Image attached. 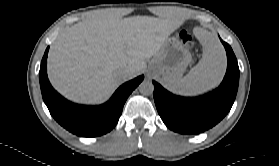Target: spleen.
I'll use <instances>...</instances> for the list:
<instances>
[{
  "instance_id": "3e777b00",
  "label": "spleen",
  "mask_w": 279,
  "mask_h": 166,
  "mask_svg": "<svg viewBox=\"0 0 279 166\" xmlns=\"http://www.w3.org/2000/svg\"><path fill=\"white\" fill-rule=\"evenodd\" d=\"M197 38L203 46L201 60L186 76L165 83L168 89L176 94H202L218 86L225 73V52L218 39L205 30H198Z\"/></svg>"
}]
</instances>
